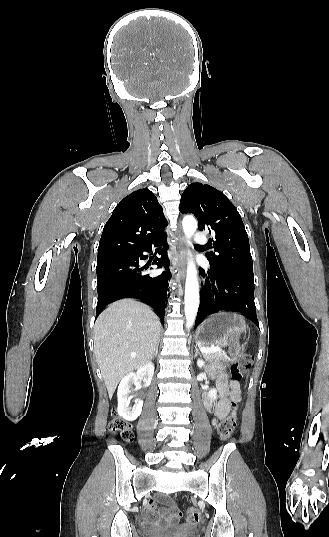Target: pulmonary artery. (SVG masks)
Masks as SVG:
<instances>
[{
	"label": "pulmonary artery",
	"instance_id": "e3ab8cb5",
	"mask_svg": "<svg viewBox=\"0 0 329 537\" xmlns=\"http://www.w3.org/2000/svg\"><path fill=\"white\" fill-rule=\"evenodd\" d=\"M194 242L199 246L204 245L207 243V237L203 233L197 232L194 235Z\"/></svg>",
	"mask_w": 329,
	"mask_h": 537
}]
</instances>
